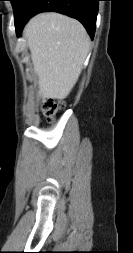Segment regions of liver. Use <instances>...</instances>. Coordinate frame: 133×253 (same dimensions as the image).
Masks as SVG:
<instances>
[{"label": "liver", "instance_id": "6515ba94", "mask_svg": "<svg viewBox=\"0 0 133 253\" xmlns=\"http://www.w3.org/2000/svg\"><path fill=\"white\" fill-rule=\"evenodd\" d=\"M24 36L39 77V94L64 99L76 84L89 52L85 28L70 17L43 13L27 23Z\"/></svg>", "mask_w": 133, "mask_h": 253}]
</instances>
